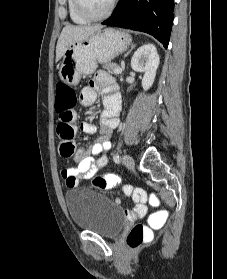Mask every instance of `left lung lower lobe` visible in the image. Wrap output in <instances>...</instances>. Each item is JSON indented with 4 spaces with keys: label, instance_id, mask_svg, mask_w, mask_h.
<instances>
[{
    "label": "left lung lower lobe",
    "instance_id": "1",
    "mask_svg": "<svg viewBox=\"0 0 227 279\" xmlns=\"http://www.w3.org/2000/svg\"><path fill=\"white\" fill-rule=\"evenodd\" d=\"M174 0H119L102 24L149 33L167 48L173 24Z\"/></svg>",
    "mask_w": 227,
    "mask_h": 279
}]
</instances>
